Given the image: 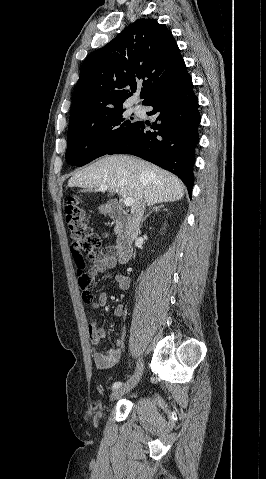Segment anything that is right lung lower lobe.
Instances as JSON below:
<instances>
[{"label":"right lung lower lobe","instance_id":"98d812e1","mask_svg":"<svg viewBox=\"0 0 266 479\" xmlns=\"http://www.w3.org/2000/svg\"><path fill=\"white\" fill-rule=\"evenodd\" d=\"M143 105L153 106L148 115L156 117L147 131L138 121L107 154H132L177 175L191 196L195 146L199 142L198 98L187 73L153 93Z\"/></svg>","mask_w":266,"mask_h":479}]
</instances>
